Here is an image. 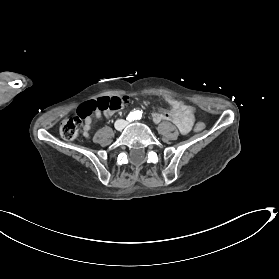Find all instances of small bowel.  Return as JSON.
I'll list each match as a JSON object with an SVG mask.
<instances>
[{
  "label": "small bowel",
  "instance_id": "c3829d8e",
  "mask_svg": "<svg viewBox=\"0 0 279 279\" xmlns=\"http://www.w3.org/2000/svg\"><path fill=\"white\" fill-rule=\"evenodd\" d=\"M165 101L171 107V113L155 112L153 113V120L157 123L162 120H172L182 134H187L193 126V117L179 100L170 96H165ZM114 112L115 111H96L94 115L86 117L83 126V135L85 137L90 135L92 124L96 119L109 117Z\"/></svg>",
  "mask_w": 279,
  "mask_h": 279
}]
</instances>
